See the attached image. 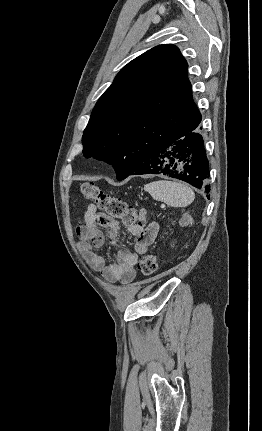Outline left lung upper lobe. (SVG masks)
<instances>
[{
    "instance_id": "obj_1",
    "label": "left lung upper lobe",
    "mask_w": 262,
    "mask_h": 431,
    "mask_svg": "<svg viewBox=\"0 0 262 431\" xmlns=\"http://www.w3.org/2000/svg\"><path fill=\"white\" fill-rule=\"evenodd\" d=\"M187 62L171 44L128 63L97 101L82 136L83 155L128 177L137 160L201 114L192 99Z\"/></svg>"
}]
</instances>
